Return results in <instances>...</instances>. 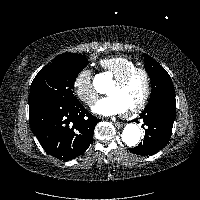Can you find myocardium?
I'll use <instances>...</instances> for the list:
<instances>
[{"instance_id": "1", "label": "myocardium", "mask_w": 200, "mask_h": 200, "mask_svg": "<svg viewBox=\"0 0 200 200\" xmlns=\"http://www.w3.org/2000/svg\"><path fill=\"white\" fill-rule=\"evenodd\" d=\"M138 74L143 75L145 78V92H144V95L141 98V100L134 107L122 112L124 116L135 115V114L139 113L146 106V104L150 98L151 89H152L150 74L143 68H136V69H133V70L125 73L118 79L114 80L112 83V85L115 87H121V86L125 85L131 78H133L134 76H136Z\"/></svg>"}]
</instances>
